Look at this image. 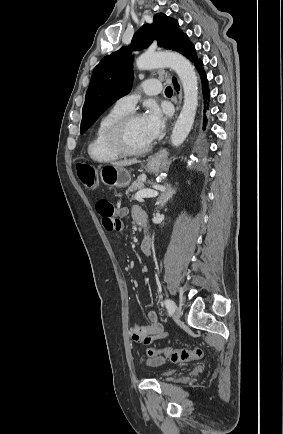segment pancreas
Returning <instances> with one entry per match:
<instances>
[{"label":"pancreas","mask_w":283,"mask_h":434,"mask_svg":"<svg viewBox=\"0 0 283 434\" xmlns=\"http://www.w3.org/2000/svg\"><path fill=\"white\" fill-rule=\"evenodd\" d=\"M144 179L140 176L137 178L135 182L132 183V185L128 188L126 191V195H129V193H133L137 190L144 189Z\"/></svg>","instance_id":"pancreas-1"}]
</instances>
